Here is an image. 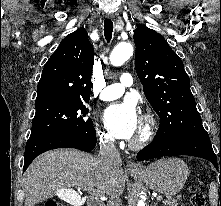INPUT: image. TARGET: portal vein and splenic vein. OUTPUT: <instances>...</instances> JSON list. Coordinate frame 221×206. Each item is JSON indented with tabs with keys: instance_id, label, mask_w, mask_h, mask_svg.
Instances as JSON below:
<instances>
[{
	"instance_id": "portal-vein-and-splenic-vein-1",
	"label": "portal vein and splenic vein",
	"mask_w": 221,
	"mask_h": 206,
	"mask_svg": "<svg viewBox=\"0 0 221 206\" xmlns=\"http://www.w3.org/2000/svg\"><path fill=\"white\" fill-rule=\"evenodd\" d=\"M88 191V193L90 194V195H92V196H95V197H97V198H100V199H103L104 198V194H103V192L102 191H100V190H96V189H88L87 190ZM163 198L161 197V196H159V197H157V200H159V201H161Z\"/></svg>"
}]
</instances>
